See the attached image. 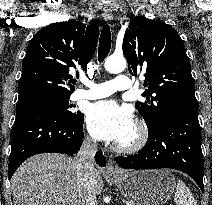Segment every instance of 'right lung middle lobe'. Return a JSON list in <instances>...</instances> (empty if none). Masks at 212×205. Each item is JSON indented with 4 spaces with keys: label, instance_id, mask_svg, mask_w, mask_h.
I'll list each match as a JSON object with an SVG mask.
<instances>
[{
    "label": "right lung middle lobe",
    "instance_id": "1",
    "mask_svg": "<svg viewBox=\"0 0 212 205\" xmlns=\"http://www.w3.org/2000/svg\"><path fill=\"white\" fill-rule=\"evenodd\" d=\"M70 94H55L48 92L32 93L19 97L16 107V113L30 109H42L53 112L62 118L76 123L84 119L83 114L79 111L72 112L74 107L69 105Z\"/></svg>",
    "mask_w": 212,
    "mask_h": 205
}]
</instances>
